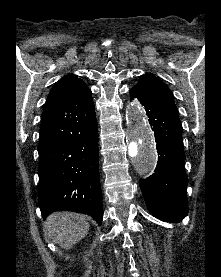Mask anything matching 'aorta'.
I'll list each match as a JSON object with an SVG mask.
<instances>
[{"label":"aorta","mask_w":221,"mask_h":277,"mask_svg":"<svg viewBox=\"0 0 221 277\" xmlns=\"http://www.w3.org/2000/svg\"><path fill=\"white\" fill-rule=\"evenodd\" d=\"M126 124L125 138L134 167L139 173L148 174L156 166L157 152L153 133L140 104L128 106Z\"/></svg>","instance_id":"762f6f07"}]
</instances>
